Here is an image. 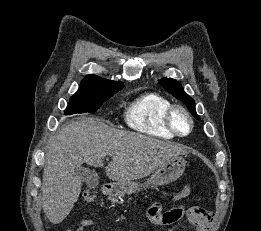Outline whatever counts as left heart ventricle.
I'll use <instances>...</instances> for the list:
<instances>
[{
	"label": "left heart ventricle",
	"instance_id": "left-heart-ventricle-1",
	"mask_svg": "<svg viewBox=\"0 0 261 231\" xmlns=\"http://www.w3.org/2000/svg\"><path fill=\"white\" fill-rule=\"evenodd\" d=\"M174 123H175V126L178 129V131L181 133H186L190 128L188 119L182 113H177L175 115Z\"/></svg>",
	"mask_w": 261,
	"mask_h": 231
}]
</instances>
